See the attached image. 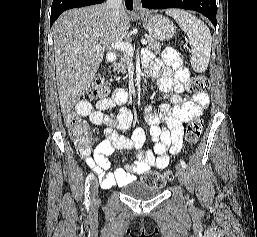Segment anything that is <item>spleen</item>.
Returning a JSON list of instances; mask_svg holds the SVG:
<instances>
[{
    "label": "spleen",
    "mask_w": 257,
    "mask_h": 237,
    "mask_svg": "<svg viewBox=\"0 0 257 237\" xmlns=\"http://www.w3.org/2000/svg\"><path fill=\"white\" fill-rule=\"evenodd\" d=\"M166 14L177 22L190 40L192 68L196 72H204L208 67L212 45L209 28L200 19L182 10L170 9Z\"/></svg>",
    "instance_id": "3e777b00"
}]
</instances>
